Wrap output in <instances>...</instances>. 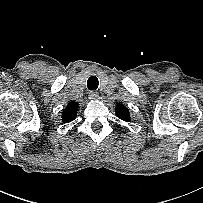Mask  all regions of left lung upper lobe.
I'll list each match as a JSON object with an SVG mask.
<instances>
[{"label": "left lung upper lobe", "instance_id": "left-lung-upper-lobe-1", "mask_svg": "<svg viewBox=\"0 0 203 203\" xmlns=\"http://www.w3.org/2000/svg\"><path fill=\"white\" fill-rule=\"evenodd\" d=\"M116 116L123 121H130L129 110L121 103L117 104L115 107Z\"/></svg>", "mask_w": 203, "mask_h": 203}]
</instances>
